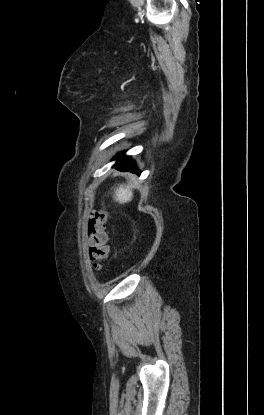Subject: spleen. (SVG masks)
<instances>
[{
    "label": "spleen",
    "instance_id": "spleen-1",
    "mask_svg": "<svg viewBox=\"0 0 264 415\" xmlns=\"http://www.w3.org/2000/svg\"><path fill=\"white\" fill-rule=\"evenodd\" d=\"M132 197H133V192L129 187H125L123 185H120L115 190L114 199H115V201H117L121 204L131 201Z\"/></svg>",
    "mask_w": 264,
    "mask_h": 415
}]
</instances>
